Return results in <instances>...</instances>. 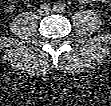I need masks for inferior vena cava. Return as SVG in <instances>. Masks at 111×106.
I'll use <instances>...</instances> for the list:
<instances>
[{
  "instance_id": "1",
  "label": "inferior vena cava",
  "mask_w": 111,
  "mask_h": 106,
  "mask_svg": "<svg viewBox=\"0 0 111 106\" xmlns=\"http://www.w3.org/2000/svg\"><path fill=\"white\" fill-rule=\"evenodd\" d=\"M40 12L41 13H49L50 12V8L49 7H41Z\"/></svg>"
}]
</instances>
